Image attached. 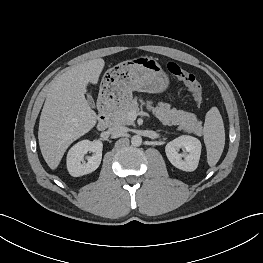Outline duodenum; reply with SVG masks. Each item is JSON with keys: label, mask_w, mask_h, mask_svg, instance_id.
Returning a JSON list of instances; mask_svg holds the SVG:
<instances>
[{"label": "duodenum", "mask_w": 263, "mask_h": 263, "mask_svg": "<svg viewBox=\"0 0 263 263\" xmlns=\"http://www.w3.org/2000/svg\"><path fill=\"white\" fill-rule=\"evenodd\" d=\"M111 119V108L108 102H102L99 106V118L97 122V129L104 131L108 128Z\"/></svg>", "instance_id": "1"}]
</instances>
